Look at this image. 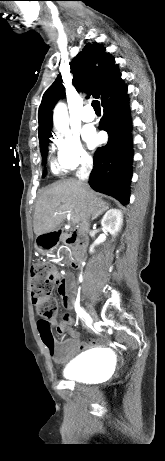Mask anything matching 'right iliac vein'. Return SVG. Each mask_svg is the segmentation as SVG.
Returning <instances> with one entry per match:
<instances>
[{
  "label": "right iliac vein",
  "mask_w": 165,
  "mask_h": 461,
  "mask_svg": "<svg viewBox=\"0 0 165 461\" xmlns=\"http://www.w3.org/2000/svg\"><path fill=\"white\" fill-rule=\"evenodd\" d=\"M88 313H89L92 321L97 322L98 316H97L95 310L91 306H88Z\"/></svg>",
  "instance_id": "obj_1"
}]
</instances>
